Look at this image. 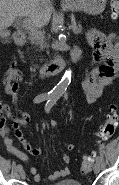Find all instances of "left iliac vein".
Segmentation results:
<instances>
[{
    "label": "left iliac vein",
    "mask_w": 119,
    "mask_h": 185,
    "mask_svg": "<svg viewBox=\"0 0 119 185\" xmlns=\"http://www.w3.org/2000/svg\"><path fill=\"white\" fill-rule=\"evenodd\" d=\"M100 169H101V164H100L99 161H96L95 164H94V172L99 173Z\"/></svg>",
    "instance_id": "4c4485c4"
}]
</instances>
